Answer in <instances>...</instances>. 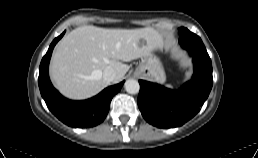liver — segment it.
Segmentation results:
<instances>
[{"mask_svg":"<svg viewBox=\"0 0 258 158\" xmlns=\"http://www.w3.org/2000/svg\"><path fill=\"white\" fill-rule=\"evenodd\" d=\"M162 45V35L149 27L82 26L69 32L57 44L51 60V78L64 96L77 100L89 98L109 84L103 79L105 68H113L114 82H119L129 70L122 62L147 57Z\"/></svg>","mask_w":258,"mask_h":158,"instance_id":"1","label":"liver"}]
</instances>
